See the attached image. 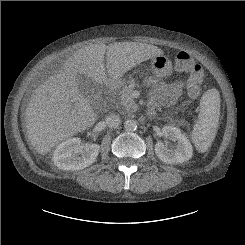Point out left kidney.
Listing matches in <instances>:
<instances>
[{
  "label": "left kidney",
  "instance_id": "5707ae66",
  "mask_svg": "<svg viewBox=\"0 0 245 245\" xmlns=\"http://www.w3.org/2000/svg\"><path fill=\"white\" fill-rule=\"evenodd\" d=\"M162 135L178 143L175 149H169L161 141L155 144V153L162 162L167 164L183 163L192 157V145L180 129L174 126H164Z\"/></svg>",
  "mask_w": 245,
  "mask_h": 245
}]
</instances>
